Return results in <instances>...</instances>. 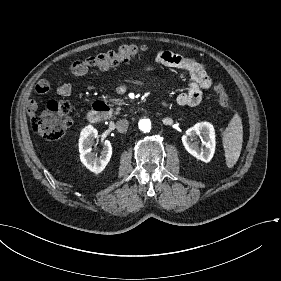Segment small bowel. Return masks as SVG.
Here are the masks:
<instances>
[{"label":"small bowel","instance_id":"1","mask_svg":"<svg viewBox=\"0 0 281 281\" xmlns=\"http://www.w3.org/2000/svg\"><path fill=\"white\" fill-rule=\"evenodd\" d=\"M157 66L177 69L189 76L188 88L181 92L176 102L179 106H196L202 99L203 92L212 86L211 78L208 75L207 68L203 63L190 56L182 55L172 51L160 52L155 60ZM140 67L144 71H152L155 65L149 63H140ZM87 66L82 61L75 62L71 67V74L77 77H84L87 75ZM50 91V84L46 80H38L27 92V111L29 115H33L37 110V103L42 98L48 96ZM72 91V86L68 81L62 82L58 88L57 93L60 96H69Z\"/></svg>","mask_w":281,"mask_h":281}]
</instances>
